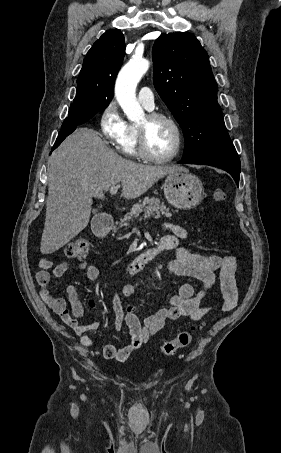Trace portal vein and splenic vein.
Returning <instances> with one entry per match:
<instances>
[{"label": "portal vein and splenic vein", "instance_id": "portal-vein-and-splenic-vein-1", "mask_svg": "<svg viewBox=\"0 0 281 453\" xmlns=\"http://www.w3.org/2000/svg\"><path fill=\"white\" fill-rule=\"evenodd\" d=\"M118 188H120V184H116V186H111L109 190L110 194H116V192H118Z\"/></svg>", "mask_w": 281, "mask_h": 453}]
</instances>
